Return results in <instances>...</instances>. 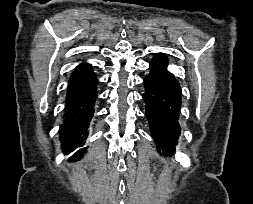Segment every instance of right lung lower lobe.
I'll use <instances>...</instances> for the list:
<instances>
[{"label": "right lung lower lobe", "mask_w": 253, "mask_h": 204, "mask_svg": "<svg viewBox=\"0 0 253 204\" xmlns=\"http://www.w3.org/2000/svg\"><path fill=\"white\" fill-rule=\"evenodd\" d=\"M98 81L90 64H80L70 76L66 96V116L60 128L62 148L70 153L83 146L88 134L89 121L94 114ZM86 148L78 149L71 161L79 160Z\"/></svg>", "instance_id": "98d812e1"}]
</instances>
